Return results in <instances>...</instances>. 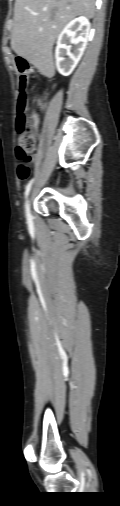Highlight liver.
Instances as JSON below:
<instances>
[{
  "label": "liver",
  "mask_w": 120,
  "mask_h": 506,
  "mask_svg": "<svg viewBox=\"0 0 120 506\" xmlns=\"http://www.w3.org/2000/svg\"><path fill=\"white\" fill-rule=\"evenodd\" d=\"M95 0H16L11 47L45 75H54L53 45L75 17L93 18Z\"/></svg>",
  "instance_id": "obj_1"
}]
</instances>
